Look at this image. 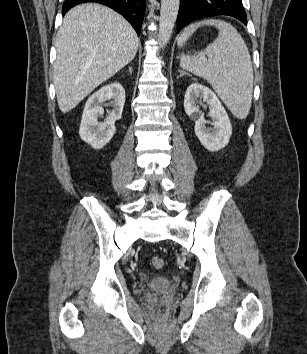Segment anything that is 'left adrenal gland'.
Segmentation results:
<instances>
[{
	"instance_id": "1",
	"label": "left adrenal gland",
	"mask_w": 307,
	"mask_h": 354,
	"mask_svg": "<svg viewBox=\"0 0 307 354\" xmlns=\"http://www.w3.org/2000/svg\"><path fill=\"white\" fill-rule=\"evenodd\" d=\"M178 72L180 73L179 77H183L184 75H187L186 72L182 71V70H178Z\"/></svg>"
}]
</instances>
